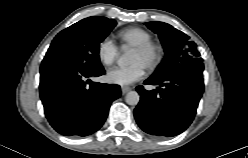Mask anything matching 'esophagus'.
Returning a JSON list of instances; mask_svg holds the SVG:
<instances>
[{
	"instance_id": "obj_1",
	"label": "esophagus",
	"mask_w": 248,
	"mask_h": 158,
	"mask_svg": "<svg viewBox=\"0 0 248 158\" xmlns=\"http://www.w3.org/2000/svg\"><path fill=\"white\" fill-rule=\"evenodd\" d=\"M121 90L123 94H126L127 92L131 90V88L129 86H122Z\"/></svg>"
}]
</instances>
